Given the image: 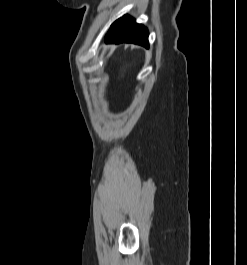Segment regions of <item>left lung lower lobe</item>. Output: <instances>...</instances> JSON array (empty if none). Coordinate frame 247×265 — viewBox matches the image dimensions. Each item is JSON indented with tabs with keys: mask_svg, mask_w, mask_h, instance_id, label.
<instances>
[{
	"mask_svg": "<svg viewBox=\"0 0 247 265\" xmlns=\"http://www.w3.org/2000/svg\"><path fill=\"white\" fill-rule=\"evenodd\" d=\"M106 43H134L148 47V31L135 20L125 15L116 20L110 27L106 37Z\"/></svg>",
	"mask_w": 247,
	"mask_h": 265,
	"instance_id": "obj_1",
	"label": "left lung lower lobe"
}]
</instances>
